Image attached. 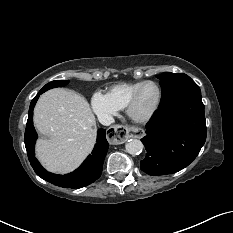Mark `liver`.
<instances>
[{
	"instance_id": "1",
	"label": "liver",
	"mask_w": 233,
	"mask_h": 233,
	"mask_svg": "<svg viewBox=\"0 0 233 233\" xmlns=\"http://www.w3.org/2000/svg\"><path fill=\"white\" fill-rule=\"evenodd\" d=\"M34 125L46 136L36 143V156L50 172L75 170L96 143V119L80 94L57 88L42 94L34 108Z\"/></svg>"
}]
</instances>
